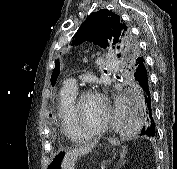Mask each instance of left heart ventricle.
Here are the masks:
<instances>
[{
	"label": "left heart ventricle",
	"mask_w": 177,
	"mask_h": 169,
	"mask_svg": "<svg viewBox=\"0 0 177 169\" xmlns=\"http://www.w3.org/2000/svg\"><path fill=\"white\" fill-rule=\"evenodd\" d=\"M105 114V105L98 96L84 97L79 106L81 127L85 130L99 127L105 120Z\"/></svg>",
	"instance_id": "left-heart-ventricle-1"
}]
</instances>
